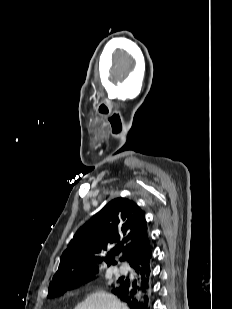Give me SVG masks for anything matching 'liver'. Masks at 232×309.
<instances>
[{"instance_id": "obj_1", "label": "liver", "mask_w": 232, "mask_h": 309, "mask_svg": "<svg viewBox=\"0 0 232 309\" xmlns=\"http://www.w3.org/2000/svg\"><path fill=\"white\" fill-rule=\"evenodd\" d=\"M74 309H129L120 302L114 295L105 291L90 294L83 302Z\"/></svg>"}]
</instances>
